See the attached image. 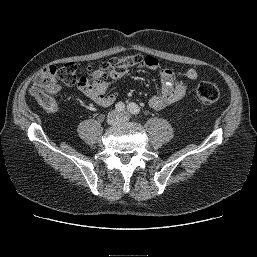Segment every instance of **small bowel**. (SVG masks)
I'll return each mask as SVG.
<instances>
[{
    "instance_id": "obj_1",
    "label": "small bowel",
    "mask_w": 257,
    "mask_h": 257,
    "mask_svg": "<svg viewBox=\"0 0 257 257\" xmlns=\"http://www.w3.org/2000/svg\"><path fill=\"white\" fill-rule=\"evenodd\" d=\"M141 65L155 70L159 68V61L152 56H147ZM124 74L112 73L110 76L113 79H121ZM159 74L161 79L160 91L149 100V106L154 110L164 109L179 101L186 94L190 83L198 76L194 69H188L180 78L173 71L166 68L160 69ZM80 89L89 99L101 107L110 106L117 98L115 92H108V85L101 80H95L80 86ZM59 90L60 87L56 86L55 93Z\"/></svg>"
}]
</instances>
